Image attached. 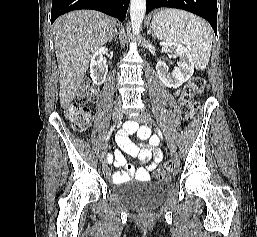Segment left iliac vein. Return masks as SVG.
Masks as SVG:
<instances>
[{
    "mask_svg": "<svg viewBox=\"0 0 257 237\" xmlns=\"http://www.w3.org/2000/svg\"><path fill=\"white\" fill-rule=\"evenodd\" d=\"M134 119L143 124L151 123L149 115L144 112H141L140 114L136 115ZM164 138L166 140V144L169 150L171 152H174L176 150L174 139L167 133H164Z\"/></svg>",
    "mask_w": 257,
    "mask_h": 237,
    "instance_id": "left-iliac-vein-1",
    "label": "left iliac vein"
}]
</instances>
